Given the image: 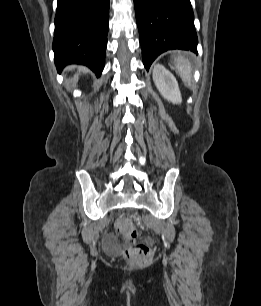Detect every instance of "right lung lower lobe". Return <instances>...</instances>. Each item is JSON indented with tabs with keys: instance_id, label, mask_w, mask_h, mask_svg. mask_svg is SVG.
Returning a JSON list of instances; mask_svg holds the SVG:
<instances>
[{
	"instance_id": "98d812e1",
	"label": "right lung lower lobe",
	"mask_w": 261,
	"mask_h": 306,
	"mask_svg": "<svg viewBox=\"0 0 261 306\" xmlns=\"http://www.w3.org/2000/svg\"><path fill=\"white\" fill-rule=\"evenodd\" d=\"M109 0H58L53 51L58 71L71 63L104 68Z\"/></svg>"
}]
</instances>
